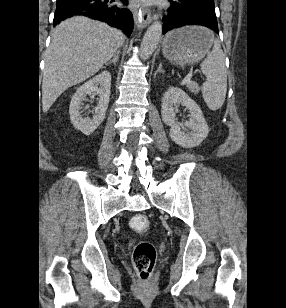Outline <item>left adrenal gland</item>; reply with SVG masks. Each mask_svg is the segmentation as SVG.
<instances>
[{
    "label": "left adrenal gland",
    "instance_id": "1",
    "mask_svg": "<svg viewBox=\"0 0 286 308\" xmlns=\"http://www.w3.org/2000/svg\"><path fill=\"white\" fill-rule=\"evenodd\" d=\"M158 73H163V69H162V64H161V63H160V65H159L158 69L156 70V72L154 73V78L156 77V75H157Z\"/></svg>",
    "mask_w": 286,
    "mask_h": 308
}]
</instances>
